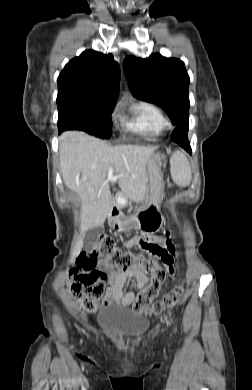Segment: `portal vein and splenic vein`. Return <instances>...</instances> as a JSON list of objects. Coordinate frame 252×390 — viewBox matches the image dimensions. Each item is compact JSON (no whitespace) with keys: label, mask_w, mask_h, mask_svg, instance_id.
I'll return each instance as SVG.
<instances>
[{"label":"portal vein and splenic vein","mask_w":252,"mask_h":390,"mask_svg":"<svg viewBox=\"0 0 252 390\" xmlns=\"http://www.w3.org/2000/svg\"><path fill=\"white\" fill-rule=\"evenodd\" d=\"M87 179V177H83V180H86ZM125 202V200L124 199H119V203H124Z\"/></svg>","instance_id":"obj_1"}]
</instances>
